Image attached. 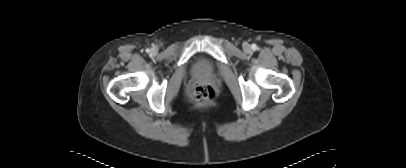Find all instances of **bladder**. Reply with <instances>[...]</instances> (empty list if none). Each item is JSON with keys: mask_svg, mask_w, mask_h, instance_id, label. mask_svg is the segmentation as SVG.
<instances>
[{"mask_svg": "<svg viewBox=\"0 0 406 168\" xmlns=\"http://www.w3.org/2000/svg\"><path fill=\"white\" fill-rule=\"evenodd\" d=\"M192 69L197 76H207L214 72L215 67L208 59L200 58L194 62Z\"/></svg>", "mask_w": 406, "mask_h": 168, "instance_id": "bladder-1", "label": "bladder"}]
</instances>
